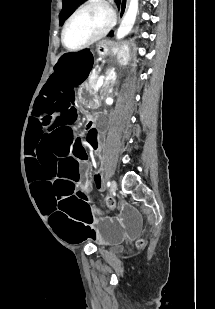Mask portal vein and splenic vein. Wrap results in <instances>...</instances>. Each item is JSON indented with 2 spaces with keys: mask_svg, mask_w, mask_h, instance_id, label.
I'll return each instance as SVG.
<instances>
[{
  "mask_svg": "<svg viewBox=\"0 0 215 309\" xmlns=\"http://www.w3.org/2000/svg\"><path fill=\"white\" fill-rule=\"evenodd\" d=\"M104 78H106V76H100V78H99V80L97 82V86H101V84H103Z\"/></svg>",
  "mask_w": 215,
  "mask_h": 309,
  "instance_id": "18ae733b",
  "label": "portal vein and splenic vein"
}]
</instances>
